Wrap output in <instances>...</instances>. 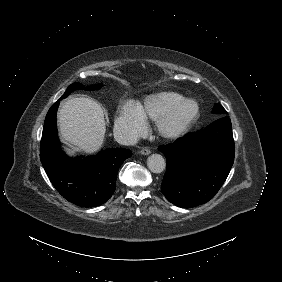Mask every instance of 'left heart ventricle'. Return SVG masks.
Returning <instances> with one entry per match:
<instances>
[{"instance_id":"b2bd125f","label":"left heart ventricle","mask_w":282,"mask_h":282,"mask_svg":"<svg viewBox=\"0 0 282 282\" xmlns=\"http://www.w3.org/2000/svg\"><path fill=\"white\" fill-rule=\"evenodd\" d=\"M195 111H196V108H195V105L193 103L188 104L185 107V113H187V114H193V113H195Z\"/></svg>"}]
</instances>
